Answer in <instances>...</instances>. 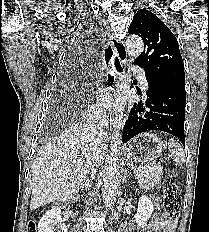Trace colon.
I'll return each mask as SVG.
<instances>
[{"mask_svg": "<svg viewBox=\"0 0 209 232\" xmlns=\"http://www.w3.org/2000/svg\"><path fill=\"white\" fill-rule=\"evenodd\" d=\"M181 209V194L178 186L172 179H167L163 187V216L168 221H175ZM27 232H37L34 222H30Z\"/></svg>", "mask_w": 209, "mask_h": 232, "instance_id": "colon-1", "label": "colon"}]
</instances>
